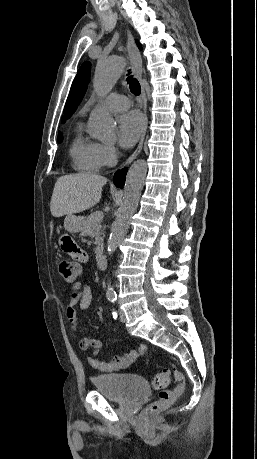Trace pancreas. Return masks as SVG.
<instances>
[{
    "mask_svg": "<svg viewBox=\"0 0 257 459\" xmlns=\"http://www.w3.org/2000/svg\"><path fill=\"white\" fill-rule=\"evenodd\" d=\"M95 214L96 212L88 216L81 230V236L94 237L95 238L94 244L96 245L95 253L99 254L100 250L103 247L105 227L101 225V222H98L95 219Z\"/></svg>",
    "mask_w": 257,
    "mask_h": 459,
    "instance_id": "1",
    "label": "pancreas"
}]
</instances>
